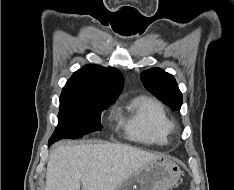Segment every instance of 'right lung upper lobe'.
I'll use <instances>...</instances> for the list:
<instances>
[{"instance_id":"obj_1","label":"right lung upper lobe","mask_w":234,"mask_h":190,"mask_svg":"<svg viewBox=\"0 0 234 190\" xmlns=\"http://www.w3.org/2000/svg\"><path fill=\"white\" fill-rule=\"evenodd\" d=\"M123 81L122 74L115 68L87 65L72 75L61 97L113 103L123 88Z\"/></svg>"}]
</instances>
